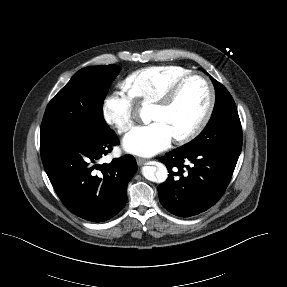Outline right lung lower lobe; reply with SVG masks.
<instances>
[{"instance_id": "obj_1", "label": "right lung lower lobe", "mask_w": 287, "mask_h": 287, "mask_svg": "<svg viewBox=\"0 0 287 287\" xmlns=\"http://www.w3.org/2000/svg\"><path fill=\"white\" fill-rule=\"evenodd\" d=\"M119 143L113 130L87 141L40 148L49 180L63 204L75 215L93 222L115 216L125 205L128 182L137 169L131 155L98 164Z\"/></svg>"}]
</instances>
